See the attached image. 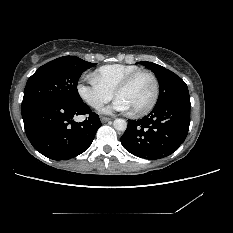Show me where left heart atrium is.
Instances as JSON below:
<instances>
[{
	"label": "left heart atrium",
	"instance_id": "1",
	"mask_svg": "<svg viewBox=\"0 0 233 233\" xmlns=\"http://www.w3.org/2000/svg\"><path fill=\"white\" fill-rule=\"evenodd\" d=\"M128 110H130V108L127 105V103L121 98L116 97V99L111 105L103 109V113L113 114L115 112H125Z\"/></svg>",
	"mask_w": 233,
	"mask_h": 233
}]
</instances>
